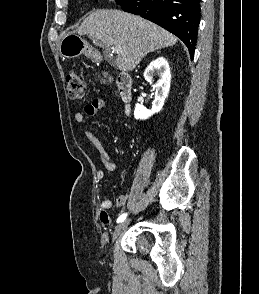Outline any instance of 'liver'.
<instances>
[{"label":"liver","mask_w":259,"mask_h":294,"mask_svg":"<svg viewBox=\"0 0 259 294\" xmlns=\"http://www.w3.org/2000/svg\"><path fill=\"white\" fill-rule=\"evenodd\" d=\"M75 32L89 35L96 46L120 47L115 63L124 72L135 69L148 53L177 43L173 34L158 25L113 9L91 12Z\"/></svg>","instance_id":"6515ba94"}]
</instances>
